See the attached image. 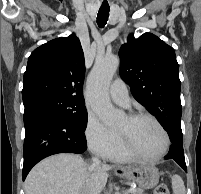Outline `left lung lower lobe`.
<instances>
[{
	"instance_id": "0a47b994",
	"label": "left lung lower lobe",
	"mask_w": 201,
	"mask_h": 194,
	"mask_svg": "<svg viewBox=\"0 0 201 194\" xmlns=\"http://www.w3.org/2000/svg\"><path fill=\"white\" fill-rule=\"evenodd\" d=\"M171 140V148L169 153L165 156V159H172L178 163L185 172H187L184 151L182 145V130L181 124L178 122H171L165 129Z\"/></svg>"
}]
</instances>
